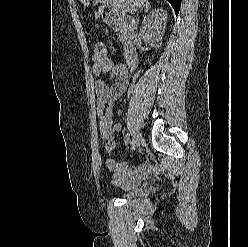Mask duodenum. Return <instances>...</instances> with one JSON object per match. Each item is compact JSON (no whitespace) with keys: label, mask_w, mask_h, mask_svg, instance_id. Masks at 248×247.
<instances>
[{"label":"duodenum","mask_w":248,"mask_h":247,"mask_svg":"<svg viewBox=\"0 0 248 247\" xmlns=\"http://www.w3.org/2000/svg\"><path fill=\"white\" fill-rule=\"evenodd\" d=\"M102 16L107 25L120 30L125 48L126 66L128 69H134L138 63L137 46L139 43V40L134 33V22L131 20L117 21L110 13H103Z\"/></svg>","instance_id":"obj_1"}]
</instances>
